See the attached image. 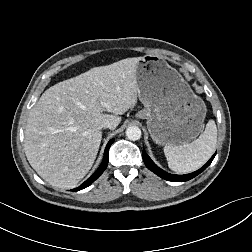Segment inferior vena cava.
Returning a JSON list of instances; mask_svg holds the SVG:
<instances>
[{
  "instance_id": "inferior-vena-cava-1",
  "label": "inferior vena cava",
  "mask_w": 252,
  "mask_h": 252,
  "mask_svg": "<svg viewBox=\"0 0 252 252\" xmlns=\"http://www.w3.org/2000/svg\"><path fill=\"white\" fill-rule=\"evenodd\" d=\"M100 128H109V129H113V124L108 122V121H104L101 123Z\"/></svg>"
}]
</instances>
